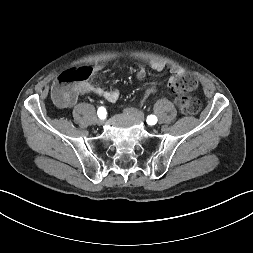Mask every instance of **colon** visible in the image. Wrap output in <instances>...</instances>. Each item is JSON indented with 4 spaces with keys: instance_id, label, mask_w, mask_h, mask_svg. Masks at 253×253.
Returning a JSON list of instances; mask_svg holds the SVG:
<instances>
[{
    "instance_id": "1",
    "label": "colon",
    "mask_w": 253,
    "mask_h": 253,
    "mask_svg": "<svg viewBox=\"0 0 253 253\" xmlns=\"http://www.w3.org/2000/svg\"><path fill=\"white\" fill-rule=\"evenodd\" d=\"M91 74L90 68L80 67L61 73L52 88L53 100L62 106L68 105L75 97V87L85 81ZM197 79L190 73L172 77L169 87L176 96V103L183 114L193 115L200 111L201 102L191 95L197 87ZM158 92L157 86L147 88L142 94V100L148 101L149 97Z\"/></svg>"
}]
</instances>
